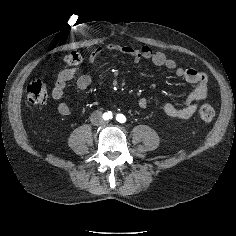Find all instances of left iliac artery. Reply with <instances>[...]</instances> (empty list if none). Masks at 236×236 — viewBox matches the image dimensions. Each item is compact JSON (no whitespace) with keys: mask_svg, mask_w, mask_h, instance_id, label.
<instances>
[{"mask_svg":"<svg viewBox=\"0 0 236 236\" xmlns=\"http://www.w3.org/2000/svg\"><path fill=\"white\" fill-rule=\"evenodd\" d=\"M116 120L120 123H124V122H126V117L123 114H117Z\"/></svg>","mask_w":236,"mask_h":236,"instance_id":"left-iliac-artery-1","label":"left iliac artery"}]
</instances>
